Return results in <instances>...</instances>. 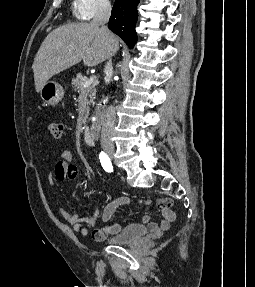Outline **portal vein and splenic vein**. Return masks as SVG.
<instances>
[{
    "label": "portal vein and splenic vein",
    "mask_w": 255,
    "mask_h": 287,
    "mask_svg": "<svg viewBox=\"0 0 255 287\" xmlns=\"http://www.w3.org/2000/svg\"><path fill=\"white\" fill-rule=\"evenodd\" d=\"M93 82H97V78H95V76H91L89 82H85V84H83L84 88H89Z\"/></svg>",
    "instance_id": "portal-vein-and-splenic-vein-1"
}]
</instances>
